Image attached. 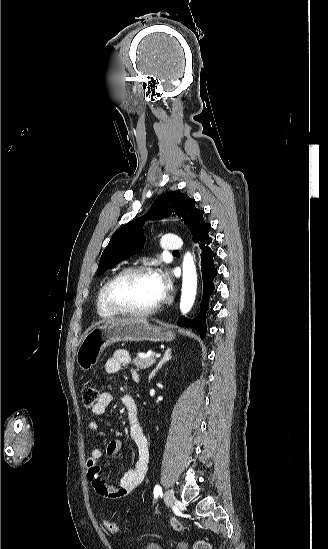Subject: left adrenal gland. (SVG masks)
<instances>
[{"mask_svg": "<svg viewBox=\"0 0 328 549\" xmlns=\"http://www.w3.org/2000/svg\"><path fill=\"white\" fill-rule=\"evenodd\" d=\"M171 353L172 349H166L160 363H158L157 367H155L154 371H152L150 377H154L155 373H157V371H159V369L163 367L164 363H167V361H170V359H172Z\"/></svg>", "mask_w": 328, "mask_h": 549, "instance_id": "a2214340", "label": "left adrenal gland"}]
</instances>
